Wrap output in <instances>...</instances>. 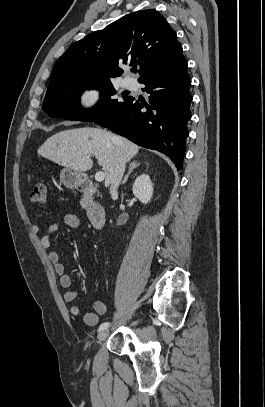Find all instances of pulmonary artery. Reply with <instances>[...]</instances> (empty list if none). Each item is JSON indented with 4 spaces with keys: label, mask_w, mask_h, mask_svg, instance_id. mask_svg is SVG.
Masks as SVG:
<instances>
[{
    "label": "pulmonary artery",
    "mask_w": 265,
    "mask_h": 407,
    "mask_svg": "<svg viewBox=\"0 0 265 407\" xmlns=\"http://www.w3.org/2000/svg\"><path fill=\"white\" fill-rule=\"evenodd\" d=\"M123 85L127 89H132L135 87V82L132 79H124Z\"/></svg>",
    "instance_id": "1"
}]
</instances>
